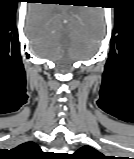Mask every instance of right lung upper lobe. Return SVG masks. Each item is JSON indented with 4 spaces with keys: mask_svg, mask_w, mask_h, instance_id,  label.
<instances>
[{
    "mask_svg": "<svg viewBox=\"0 0 134 159\" xmlns=\"http://www.w3.org/2000/svg\"><path fill=\"white\" fill-rule=\"evenodd\" d=\"M14 150L23 155L22 159H34L41 152L39 146L34 142L23 143Z\"/></svg>",
    "mask_w": 134,
    "mask_h": 159,
    "instance_id": "right-lung-upper-lobe-1",
    "label": "right lung upper lobe"
}]
</instances>
